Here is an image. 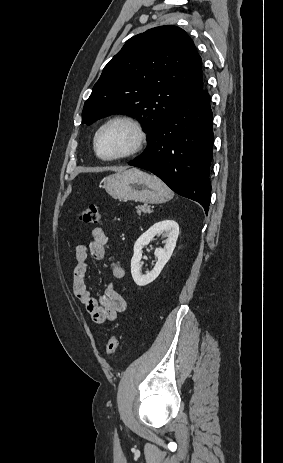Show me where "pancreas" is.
Returning a JSON list of instances; mask_svg holds the SVG:
<instances>
[{"label": "pancreas", "instance_id": "cf45deb5", "mask_svg": "<svg viewBox=\"0 0 283 463\" xmlns=\"http://www.w3.org/2000/svg\"><path fill=\"white\" fill-rule=\"evenodd\" d=\"M137 214L140 216L141 212L143 213H151L150 207L147 205H140L136 207Z\"/></svg>", "mask_w": 283, "mask_h": 463}]
</instances>
